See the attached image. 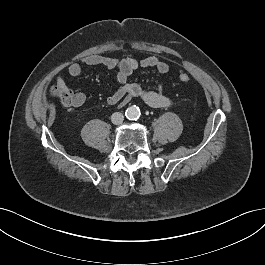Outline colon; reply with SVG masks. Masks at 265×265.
<instances>
[{"instance_id": "colon-1", "label": "colon", "mask_w": 265, "mask_h": 265, "mask_svg": "<svg viewBox=\"0 0 265 265\" xmlns=\"http://www.w3.org/2000/svg\"><path fill=\"white\" fill-rule=\"evenodd\" d=\"M178 78L182 83H188L191 79L190 75L186 72H180ZM53 95L59 99L63 106H68L72 102L71 94L65 89H54Z\"/></svg>"}]
</instances>
